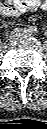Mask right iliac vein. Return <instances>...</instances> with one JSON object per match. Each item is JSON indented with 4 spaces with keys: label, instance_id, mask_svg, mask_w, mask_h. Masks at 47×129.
<instances>
[{
    "label": "right iliac vein",
    "instance_id": "obj_1",
    "mask_svg": "<svg viewBox=\"0 0 47 129\" xmlns=\"http://www.w3.org/2000/svg\"><path fill=\"white\" fill-rule=\"evenodd\" d=\"M24 32H25V30L16 28V29H14V30L9 34L8 40H9L10 42H14V41H16L18 38H21V37L23 36Z\"/></svg>",
    "mask_w": 47,
    "mask_h": 129
}]
</instances>
